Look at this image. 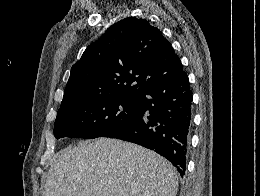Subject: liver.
I'll return each instance as SVG.
<instances>
[{
  "label": "liver",
  "instance_id": "6515ba94",
  "mask_svg": "<svg viewBox=\"0 0 260 196\" xmlns=\"http://www.w3.org/2000/svg\"><path fill=\"white\" fill-rule=\"evenodd\" d=\"M171 162L123 140H88L58 152L43 196H176Z\"/></svg>",
  "mask_w": 260,
  "mask_h": 196
}]
</instances>
